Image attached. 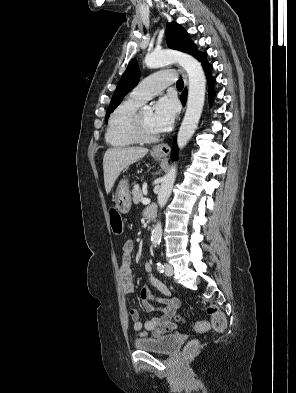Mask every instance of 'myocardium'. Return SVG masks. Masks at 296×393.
Masks as SVG:
<instances>
[{
    "mask_svg": "<svg viewBox=\"0 0 296 393\" xmlns=\"http://www.w3.org/2000/svg\"><path fill=\"white\" fill-rule=\"evenodd\" d=\"M132 134L134 138L140 143L154 142L159 138L157 133L151 134L146 130L143 121L141 119L140 112H137L134 118L133 125H132Z\"/></svg>",
    "mask_w": 296,
    "mask_h": 393,
    "instance_id": "myocardium-1",
    "label": "myocardium"
}]
</instances>
